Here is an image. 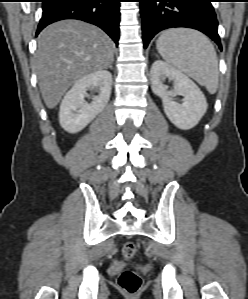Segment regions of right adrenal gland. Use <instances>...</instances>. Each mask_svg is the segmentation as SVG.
Wrapping results in <instances>:
<instances>
[{"label": "right adrenal gland", "instance_id": "right-adrenal-gland-1", "mask_svg": "<svg viewBox=\"0 0 248 299\" xmlns=\"http://www.w3.org/2000/svg\"><path fill=\"white\" fill-rule=\"evenodd\" d=\"M112 64H113V62L108 66V68H110L111 70L113 69Z\"/></svg>", "mask_w": 248, "mask_h": 299}]
</instances>
